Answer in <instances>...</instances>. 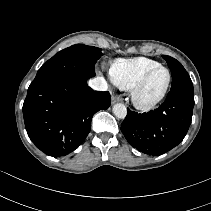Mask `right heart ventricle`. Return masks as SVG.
I'll list each match as a JSON object with an SVG mask.
<instances>
[{
	"instance_id": "e07e8e85",
	"label": "right heart ventricle",
	"mask_w": 211,
	"mask_h": 211,
	"mask_svg": "<svg viewBox=\"0 0 211 211\" xmlns=\"http://www.w3.org/2000/svg\"><path fill=\"white\" fill-rule=\"evenodd\" d=\"M158 65L159 62L146 57L120 59L110 68L111 79L118 88L131 90L149 69Z\"/></svg>"
}]
</instances>
